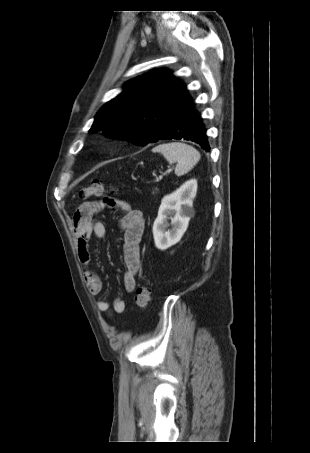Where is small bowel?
I'll return each mask as SVG.
<instances>
[{
	"instance_id": "obj_1",
	"label": "small bowel",
	"mask_w": 310,
	"mask_h": 453,
	"mask_svg": "<svg viewBox=\"0 0 310 453\" xmlns=\"http://www.w3.org/2000/svg\"><path fill=\"white\" fill-rule=\"evenodd\" d=\"M118 210L122 213L120 219V228L124 232V263L126 271L124 274V287L128 293L135 290L137 275L141 268L139 243L144 231V218L141 211L134 209L132 205L125 200H116L113 202ZM106 205L105 201H86L82 203L74 213L72 224L73 231L77 240L79 258L84 269V280L89 292L92 295H98L102 291V281L99 275L89 268L91 254L89 251V240L92 235L97 238H103L106 233L104 224L94 219L95 214L100 212ZM99 311L111 313V305L107 300L99 299L96 302ZM126 304L124 300L118 298L114 300L112 309L114 313L121 314L125 311Z\"/></svg>"
}]
</instances>
